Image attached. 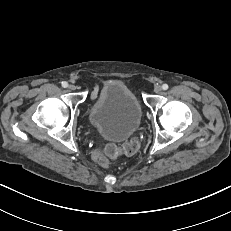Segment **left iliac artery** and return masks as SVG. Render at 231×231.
Returning a JSON list of instances; mask_svg holds the SVG:
<instances>
[{
  "label": "left iliac artery",
  "mask_w": 231,
  "mask_h": 231,
  "mask_svg": "<svg viewBox=\"0 0 231 231\" xmlns=\"http://www.w3.org/2000/svg\"><path fill=\"white\" fill-rule=\"evenodd\" d=\"M162 89H163V90H167V89H168V85H167V84H163V85H162Z\"/></svg>",
  "instance_id": "left-iliac-artery-1"
}]
</instances>
